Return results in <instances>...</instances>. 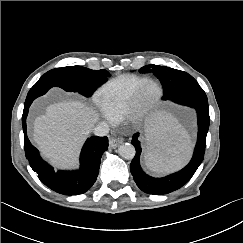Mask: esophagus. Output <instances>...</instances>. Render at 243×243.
Masks as SVG:
<instances>
[{
    "instance_id": "obj_1",
    "label": "esophagus",
    "mask_w": 243,
    "mask_h": 243,
    "mask_svg": "<svg viewBox=\"0 0 243 243\" xmlns=\"http://www.w3.org/2000/svg\"><path fill=\"white\" fill-rule=\"evenodd\" d=\"M122 142H123V139L113 137V138H111V139L109 140V146H110L111 148H116V147H117L118 145H120Z\"/></svg>"
}]
</instances>
